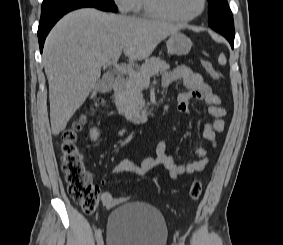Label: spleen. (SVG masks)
Returning <instances> with one entry per match:
<instances>
[{"mask_svg":"<svg viewBox=\"0 0 283 245\" xmlns=\"http://www.w3.org/2000/svg\"><path fill=\"white\" fill-rule=\"evenodd\" d=\"M218 62L221 65H225L227 63L226 57L223 53L219 55Z\"/></svg>","mask_w":283,"mask_h":245,"instance_id":"obj_1","label":"spleen"}]
</instances>
